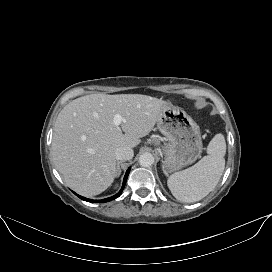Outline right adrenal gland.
<instances>
[{
	"mask_svg": "<svg viewBox=\"0 0 272 272\" xmlns=\"http://www.w3.org/2000/svg\"><path fill=\"white\" fill-rule=\"evenodd\" d=\"M123 163V161H118L117 162V169H116V177H118L121 173V168L120 165Z\"/></svg>",
	"mask_w": 272,
	"mask_h": 272,
	"instance_id": "obj_1",
	"label": "right adrenal gland"
}]
</instances>
